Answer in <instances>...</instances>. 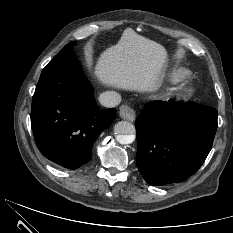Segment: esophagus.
<instances>
[{
  "label": "esophagus",
  "instance_id": "obj_1",
  "mask_svg": "<svg viewBox=\"0 0 233 233\" xmlns=\"http://www.w3.org/2000/svg\"><path fill=\"white\" fill-rule=\"evenodd\" d=\"M119 116L124 120L132 122L135 120V110L128 105H122L119 108Z\"/></svg>",
  "mask_w": 233,
  "mask_h": 233
}]
</instances>
